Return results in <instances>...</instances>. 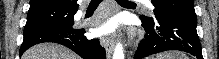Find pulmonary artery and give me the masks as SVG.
<instances>
[{
  "mask_svg": "<svg viewBox=\"0 0 219 59\" xmlns=\"http://www.w3.org/2000/svg\"><path fill=\"white\" fill-rule=\"evenodd\" d=\"M141 3H144L145 5L149 6V7H152V4L150 1H139Z\"/></svg>",
  "mask_w": 219,
  "mask_h": 59,
  "instance_id": "obj_1",
  "label": "pulmonary artery"
}]
</instances>
